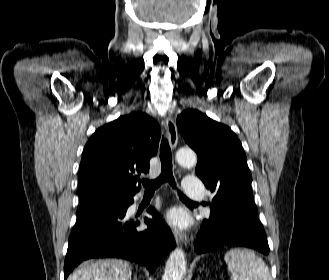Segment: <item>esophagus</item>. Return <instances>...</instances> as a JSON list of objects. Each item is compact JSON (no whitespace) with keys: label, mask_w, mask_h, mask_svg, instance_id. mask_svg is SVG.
<instances>
[{"label":"esophagus","mask_w":329,"mask_h":280,"mask_svg":"<svg viewBox=\"0 0 329 280\" xmlns=\"http://www.w3.org/2000/svg\"><path fill=\"white\" fill-rule=\"evenodd\" d=\"M165 128H166V132L169 138V142L172 148H175L177 143H178V131H177V126L175 124V122L173 121L172 118L167 117L165 120ZM174 238L177 242V244H184L185 246H187L188 244V238L187 235L181 231H179L176 228L172 229Z\"/></svg>","instance_id":"34e87169"}]
</instances>
